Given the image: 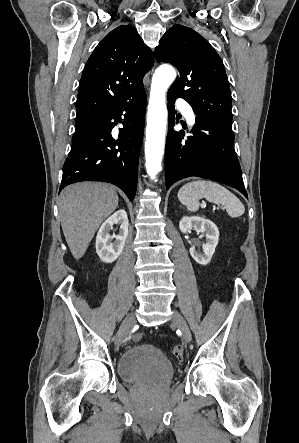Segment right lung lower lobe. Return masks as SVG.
<instances>
[{"label": "right lung lower lobe", "instance_id": "right-lung-lower-lobe-1", "mask_svg": "<svg viewBox=\"0 0 299 443\" xmlns=\"http://www.w3.org/2000/svg\"><path fill=\"white\" fill-rule=\"evenodd\" d=\"M146 102L142 89L96 118V126L73 143L63 166L60 190L75 182L104 181L121 188L129 200L134 199ZM118 123L124 127L114 139L111 131Z\"/></svg>", "mask_w": 299, "mask_h": 443}]
</instances>
